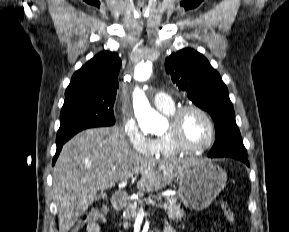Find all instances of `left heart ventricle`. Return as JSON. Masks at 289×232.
<instances>
[{
  "instance_id": "b2bd125f",
  "label": "left heart ventricle",
  "mask_w": 289,
  "mask_h": 232,
  "mask_svg": "<svg viewBox=\"0 0 289 232\" xmlns=\"http://www.w3.org/2000/svg\"><path fill=\"white\" fill-rule=\"evenodd\" d=\"M181 129L185 142L194 147L206 143L210 135L208 123L195 111H189L184 115Z\"/></svg>"
}]
</instances>
